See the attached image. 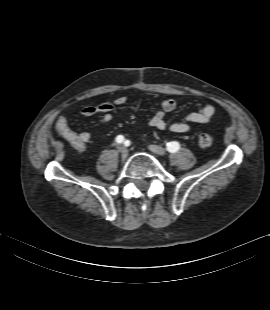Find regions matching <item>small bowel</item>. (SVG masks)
Returning a JSON list of instances; mask_svg holds the SVG:
<instances>
[{
    "instance_id": "obj_1",
    "label": "small bowel",
    "mask_w": 270,
    "mask_h": 310,
    "mask_svg": "<svg viewBox=\"0 0 270 310\" xmlns=\"http://www.w3.org/2000/svg\"><path fill=\"white\" fill-rule=\"evenodd\" d=\"M127 98L125 96H120L114 101H105L98 104L86 105L80 109L78 114L83 117H90L96 114H101L100 124L106 125L113 119V111L117 106L125 104ZM178 102L174 99H165L159 104V109L149 120V125L158 129L170 131L177 134H185L190 131V124H207L211 121L215 108L212 104H197V110L189 113L182 120L175 121L172 123H167L165 120V114L174 111L177 108ZM64 125L67 128V132H70L78 137L80 140V146L77 149H83L85 145L89 142L91 136L90 133L78 132L73 130L69 126L68 119L66 117H61L58 121L57 127L61 134L65 137V133L61 132L59 125ZM67 138V137H66ZM68 139V138H67Z\"/></svg>"
}]
</instances>
